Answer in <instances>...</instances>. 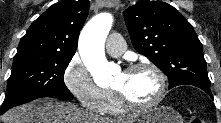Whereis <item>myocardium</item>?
Returning a JSON list of instances; mask_svg holds the SVG:
<instances>
[{
  "mask_svg": "<svg viewBox=\"0 0 221 123\" xmlns=\"http://www.w3.org/2000/svg\"><path fill=\"white\" fill-rule=\"evenodd\" d=\"M143 69L150 70L157 76V79H158V82H159L158 93L152 101H150L148 103H145V104H139V103H135L132 100H130L122 91L113 88V93L116 96V98L118 99L121 106L124 108V110H127V111H145V110L152 109V108L158 106L163 101V99L166 95V91H167V78H166V75L154 63H152V62L135 63V64H132L129 67H127L124 70V73H132V72H135V71H138V70H143Z\"/></svg>",
  "mask_w": 221,
  "mask_h": 123,
  "instance_id": "f54148a6",
  "label": "myocardium"
}]
</instances>
